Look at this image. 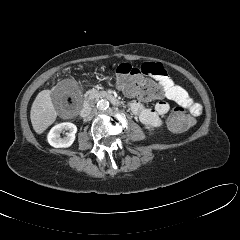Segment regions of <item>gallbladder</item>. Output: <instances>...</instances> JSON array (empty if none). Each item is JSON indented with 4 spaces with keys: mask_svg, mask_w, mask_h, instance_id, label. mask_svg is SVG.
Masks as SVG:
<instances>
[{
    "mask_svg": "<svg viewBox=\"0 0 240 240\" xmlns=\"http://www.w3.org/2000/svg\"><path fill=\"white\" fill-rule=\"evenodd\" d=\"M71 81H65L55 87L51 92V99L54 103L55 108L58 112H62L63 110H68L69 106L66 103V95L71 93L72 87Z\"/></svg>",
    "mask_w": 240,
    "mask_h": 240,
    "instance_id": "gallbladder-1",
    "label": "gallbladder"
}]
</instances>
